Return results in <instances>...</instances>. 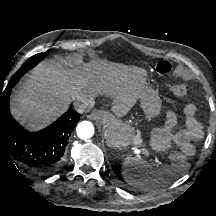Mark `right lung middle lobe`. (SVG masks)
Instances as JSON below:
<instances>
[{"label":"right lung middle lobe","instance_id":"right-lung-middle-lobe-1","mask_svg":"<svg viewBox=\"0 0 216 216\" xmlns=\"http://www.w3.org/2000/svg\"><path fill=\"white\" fill-rule=\"evenodd\" d=\"M46 54L47 52L39 53L29 58L22 65V67L14 74L10 82H12V84H15L28 70L36 66L45 57Z\"/></svg>","mask_w":216,"mask_h":216}]
</instances>
